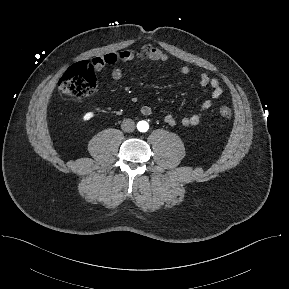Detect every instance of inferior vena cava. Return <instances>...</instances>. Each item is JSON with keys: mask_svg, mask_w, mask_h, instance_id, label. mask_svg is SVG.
Instances as JSON below:
<instances>
[{"mask_svg": "<svg viewBox=\"0 0 289 289\" xmlns=\"http://www.w3.org/2000/svg\"><path fill=\"white\" fill-rule=\"evenodd\" d=\"M121 128L125 132H132L135 129V123L132 119H124L122 121Z\"/></svg>", "mask_w": 289, "mask_h": 289, "instance_id": "602c4592", "label": "inferior vena cava"}]
</instances>
